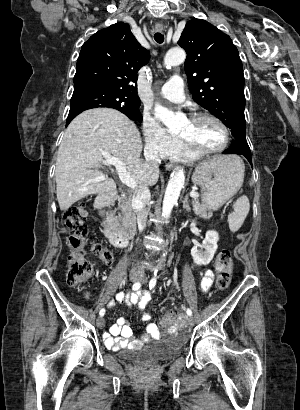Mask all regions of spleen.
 I'll return each instance as SVG.
<instances>
[{
  "label": "spleen",
  "mask_w": 300,
  "mask_h": 410,
  "mask_svg": "<svg viewBox=\"0 0 300 410\" xmlns=\"http://www.w3.org/2000/svg\"><path fill=\"white\" fill-rule=\"evenodd\" d=\"M250 203L247 196H241L233 204V212L228 216L229 228L232 232H236L242 226L248 212Z\"/></svg>",
  "instance_id": "3e777b00"
}]
</instances>
